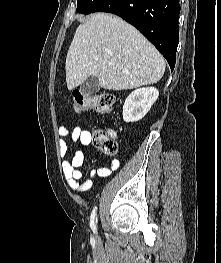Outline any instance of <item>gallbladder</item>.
<instances>
[{"label":"gallbladder","instance_id":"gallbladder-1","mask_svg":"<svg viewBox=\"0 0 221 263\" xmlns=\"http://www.w3.org/2000/svg\"><path fill=\"white\" fill-rule=\"evenodd\" d=\"M100 90V84L96 76H90L85 82L82 83L80 91L83 94H94Z\"/></svg>","mask_w":221,"mask_h":263}]
</instances>
